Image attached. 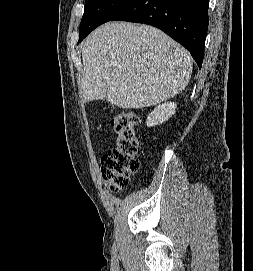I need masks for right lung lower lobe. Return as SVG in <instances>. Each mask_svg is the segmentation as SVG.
Instances as JSON below:
<instances>
[{
  "mask_svg": "<svg viewBox=\"0 0 253 271\" xmlns=\"http://www.w3.org/2000/svg\"><path fill=\"white\" fill-rule=\"evenodd\" d=\"M208 4L209 0H131L110 21L143 23L161 29L188 49L201 68Z\"/></svg>",
  "mask_w": 253,
  "mask_h": 271,
  "instance_id": "obj_1",
  "label": "right lung lower lobe"
}]
</instances>
